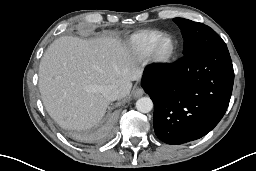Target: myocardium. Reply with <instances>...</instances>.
<instances>
[{
  "instance_id": "obj_1",
  "label": "myocardium",
  "mask_w": 256,
  "mask_h": 171,
  "mask_svg": "<svg viewBox=\"0 0 256 171\" xmlns=\"http://www.w3.org/2000/svg\"><path fill=\"white\" fill-rule=\"evenodd\" d=\"M167 40L171 42V48L167 53L163 54L161 52V47ZM176 50L177 45L175 39L171 35L164 34L154 43L149 55L150 61L158 66L166 65L173 60Z\"/></svg>"
}]
</instances>
